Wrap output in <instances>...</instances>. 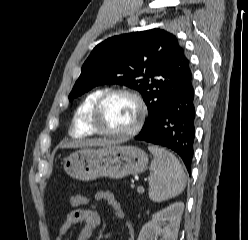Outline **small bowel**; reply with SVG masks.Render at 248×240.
Wrapping results in <instances>:
<instances>
[{"label": "small bowel", "mask_w": 248, "mask_h": 240, "mask_svg": "<svg viewBox=\"0 0 248 240\" xmlns=\"http://www.w3.org/2000/svg\"><path fill=\"white\" fill-rule=\"evenodd\" d=\"M96 201H106L113 209L117 219L123 220L125 217L124 210L110 191H98L95 194ZM80 223L82 225L81 230L77 234L75 240H89L93 232L100 226L101 217L99 212L94 207H82L70 211L60 227L59 233L55 240H63V236L66 235L69 230L75 225ZM125 227L128 233V240H134L135 232L130 223H126Z\"/></svg>", "instance_id": "c3829d8e"}]
</instances>
